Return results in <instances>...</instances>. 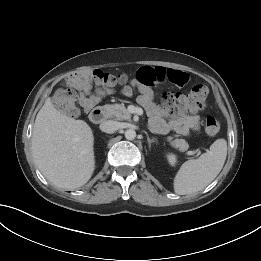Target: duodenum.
<instances>
[{"mask_svg": "<svg viewBox=\"0 0 261 261\" xmlns=\"http://www.w3.org/2000/svg\"><path fill=\"white\" fill-rule=\"evenodd\" d=\"M89 119L95 124L103 122L105 120V110L100 106L93 108L89 114Z\"/></svg>", "mask_w": 261, "mask_h": 261, "instance_id": "duodenum-1", "label": "duodenum"}]
</instances>
